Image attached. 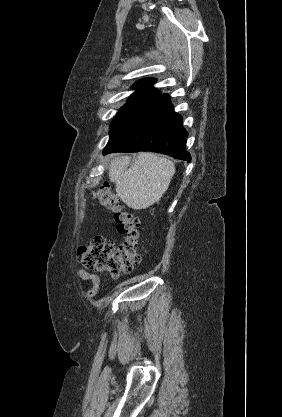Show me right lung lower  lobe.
<instances>
[{"mask_svg":"<svg viewBox=\"0 0 282 417\" xmlns=\"http://www.w3.org/2000/svg\"><path fill=\"white\" fill-rule=\"evenodd\" d=\"M188 133L182 117L174 112L168 94H162L137 119L110 138L103 154L153 151L190 162L186 151Z\"/></svg>","mask_w":282,"mask_h":417,"instance_id":"1","label":"right lung lower lobe"}]
</instances>
